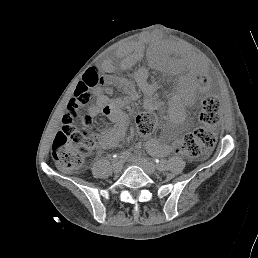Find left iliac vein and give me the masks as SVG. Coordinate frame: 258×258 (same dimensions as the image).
<instances>
[{
  "label": "left iliac vein",
  "mask_w": 258,
  "mask_h": 258,
  "mask_svg": "<svg viewBox=\"0 0 258 258\" xmlns=\"http://www.w3.org/2000/svg\"><path fill=\"white\" fill-rule=\"evenodd\" d=\"M136 164L140 166L147 174L151 175L155 173L156 166L145 158H138Z\"/></svg>",
  "instance_id": "1"
}]
</instances>
